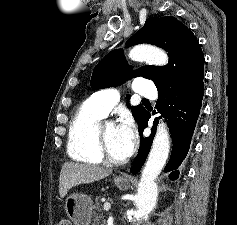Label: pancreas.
<instances>
[{
	"label": "pancreas",
	"instance_id": "cf45deb5",
	"mask_svg": "<svg viewBox=\"0 0 237 225\" xmlns=\"http://www.w3.org/2000/svg\"><path fill=\"white\" fill-rule=\"evenodd\" d=\"M95 210L98 211V213H95L96 216H98L99 218L101 217V202H100V197H96L95 198V205L93 207Z\"/></svg>",
	"mask_w": 237,
	"mask_h": 225
}]
</instances>
